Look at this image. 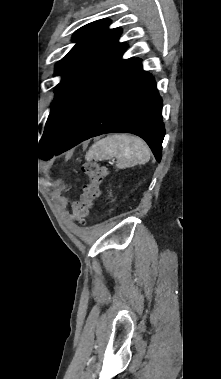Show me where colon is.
Masks as SVG:
<instances>
[{
    "label": "colon",
    "mask_w": 221,
    "mask_h": 379,
    "mask_svg": "<svg viewBox=\"0 0 221 379\" xmlns=\"http://www.w3.org/2000/svg\"><path fill=\"white\" fill-rule=\"evenodd\" d=\"M82 170L88 177V182L83 186L80 199L73 206V217L78 222L85 220L100 196V186L105 178V170L95 162L84 163Z\"/></svg>",
    "instance_id": "5ec220e1"
}]
</instances>
